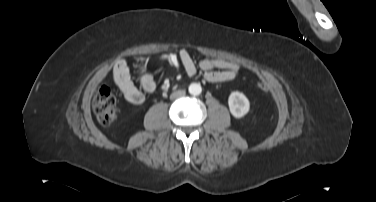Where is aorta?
<instances>
[{
  "instance_id": "1",
  "label": "aorta",
  "mask_w": 376,
  "mask_h": 202,
  "mask_svg": "<svg viewBox=\"0 0 376 202\" xmlns=\"http://www.w3.org/2000/svg\"><path fill=\"white\" fill-rule=\"evenodd\" d=\"M188 90L191 95L197 96L202 92V87L199 83H192Z\"/></svg>"
}]
</instances>
